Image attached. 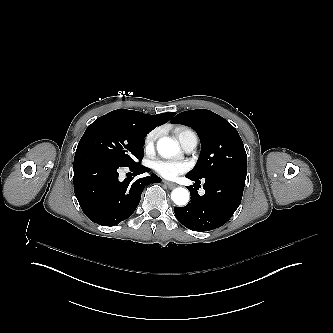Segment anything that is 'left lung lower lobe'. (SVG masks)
<instances>
[{"label":"left lung lower lobe","mask_w":333,"mask_h":333,"mask_svg":"<svg viewBox=\"0 0 333 333\" xmlns=\"http://www.w3.org/2000/svg\"><path fill=\"white\" fill-rule=\"evenodd\" d=\"M194 180V186L187 187L191 200L185 207H175L174 212L181 224L194 231H208L225 224L241 203L246 174L240 172L219 173L205 181V194L197 192L199 179L186 175ZM198 186V187H197Z\"/></svg>","instance_id":"obj_1"}]
</instances>
